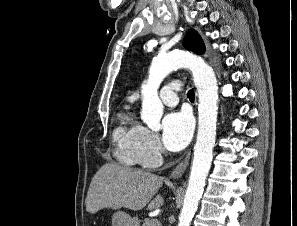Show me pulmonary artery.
Returning a JSON list of instances; mask_svg holds the SVG:
<instances>
[{
	"label": "pulmonary artery",
	"instance_id": "1",
	"mask_svg": "<svg viewBox=\"0 0 297 226\" xmlns=\"http://www.w3.org/2000/svg\"><path fill=\"white\" fill-rule=\"evenodd\" d=\"M180 83L172 81L160 89L159 95L161 101L167 106H175L179 99L177 93L181 90Z\"/></svg>",
	"mask_w": 297,
	"mask_h": 226
}]
</instances>
